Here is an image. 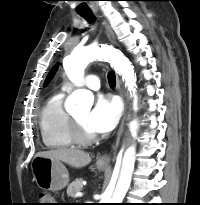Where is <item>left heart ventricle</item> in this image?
<instances>
[{"mask_svg": "<svg viewBox=\"0 0 200 205\" xmlns=\"http://www.w3.org/2000/svg\"><path fill=\"white\" fill-rule=\"evenodd\" d=\"M88 114H89L88 110H83V111H80V112L76 113L73 117L79 122V124L81 125L83 131L87 135H94V133L88 128V126L86 124Z\"/></svg>", "mask_w": 200, "mask_h": 205, "instance_id": "1", "label": "left heart ventricle"}]
</instances>
